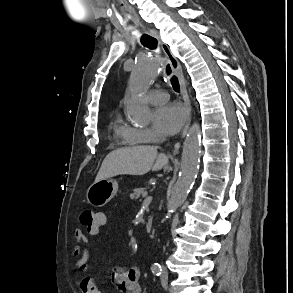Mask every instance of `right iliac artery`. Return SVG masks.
Masks as SVG:
<instances>
[{"label": "right iliac artery", "instance_id": "82829eb1", "mask_svg": "<svg viewBox=\"0 0 293 293\" xmlns=\"http://www.w3.org/2000/svg\"><path fill=\"white\" fill-rule=\"evenodd\" d=\"M151 270H152V273L156 276H159L162 271L161 267H153Z\"/></svg>", "mask_w": 293, "mask_h": 293}]
</instances>
